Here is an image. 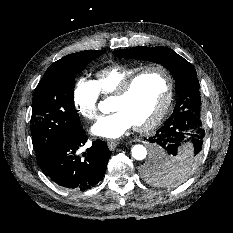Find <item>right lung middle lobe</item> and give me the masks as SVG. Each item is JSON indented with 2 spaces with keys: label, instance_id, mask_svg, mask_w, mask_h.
Returning <instances> with one entry per match:
<instances>
[{
  "label": "right lung middle lobe",
  "instance_id": "dd1d6c3e",
  "mask_svg": "<svg viewBox=\"0 0 233 233\" xmlns=\"http://www.w3.org/2000/svg\"><path fill=\"white\" fill-rule=\"evenodd\" d=\"M104 52L90 50L70 54L58 66H50L37 85L33 95L31 135L40 168L63 138L81 127L74 107V78Z\"/></svg>",
  "mask_w": 233,
  "mask_h": 233
}]
</instances>
